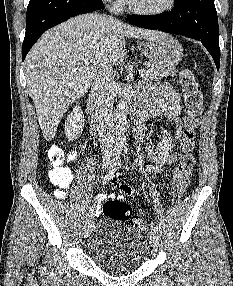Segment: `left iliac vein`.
Here are the masks:
<instances>
[{
  "label": "left iliac vein",
  "instance_id": "4c4485c4",
  "mask_svg": "<svg viewBox=\"0 0 233 286\" xmlns=\"http://www.w3.org/2000/svg\"><path fill=\"white\" fill-rule=\"evenodd\" d=\"M149 241H150V244L153 248H158L159 246V238H158V235L155 233V232H150L149 233Z\"/></svg>",
  "mask_w": 233,
  "mask_h": 286
}]
</instances>
